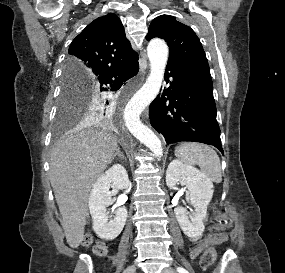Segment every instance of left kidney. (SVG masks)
I'll return each mask as SVG.
<instances>
[{"label": "left kidney", "mask_w": 285, "mask_h": 273, "mask_svg": "<svg viewBox=\"0 0 285 273\" xmlns=\"http://www.w3.org/2000/svg\"><path fill=\"white\" fill-rule=\"evenodd\" d=\"M180 183L187 187L190 194L188 203L194 210L190 218L182 206L176 207L174 213L183 233L192 240H198L204 231L203 222L213 196V184L198 169L173 160L166 172V184L169 188H175Z\"/></svg>", "instance_id": "left-kidney-1"}]
</instances>
